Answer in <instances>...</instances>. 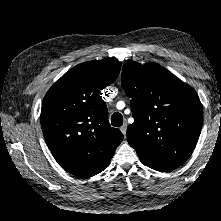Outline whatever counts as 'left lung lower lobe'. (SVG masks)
Listing matches in <instances>:
<instances>
[{
	"mask_svg": "<svg viewBox=\"0 0 221 221\" xmlns=\"http://www.w3.org/2000/svg\"><path fill=\"white\" fill-rule=\"evenodd\" d=\"M140 160L144 165L160 172H168L175 169V167L173 166H169L167 164H163L157 161L148 160V159H140Z\"/></svg>",
	"mask_w": 221,
	"mask_h": 221,
	"instance_id": "left-lung-lower-lobe-1",
	"label": "left lung lower lobe"
}]
</instances>
